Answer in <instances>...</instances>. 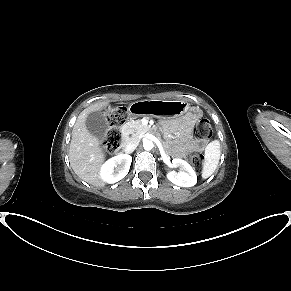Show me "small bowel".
Instances as JSON below:
<instances>
[{
	"label": "small bowel",
	"instance_id": "small-bowel-1",
	"mask_svg": "<svg viewBox=\"0 0 291 291\" xmlns=\"http://www.w3.org/2000/svg\"><path fill=\"white\" fill-rule=\"evenodd\" d=\"M200 118V111L197 108H190L186 116L166 122V128L177 135L173 153L177 157L184 156L188 151L195 148L196 144L192 138V124Z\"/></svg>",
	"mask_w": 291,
	"mask_h": 291
}]
</instances>
